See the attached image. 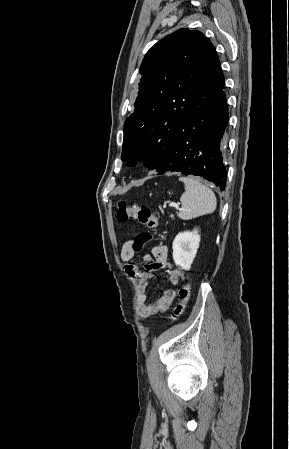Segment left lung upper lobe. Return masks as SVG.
Wrapping results in <instances>:
<instances>
[{
    "label": "left lung upper lobe",
    "instance_id": "5c2ea615",
    "mask_svg": "<svg viewBox=\"0 0 289 449\" xmlns=\"http://www.w3.org/2000/svg\"><path fill=\"white\" fill-rule=\"evenodd\" d=\"M217 57L199 31L180 29L157 42L140 67L135 111L125 121L122 160L156 169L167 154L175 126L193 106L201 83Z\"/></svg>",
    "mask_w": 289,
    "mask_h": 449
}]
</instances>
